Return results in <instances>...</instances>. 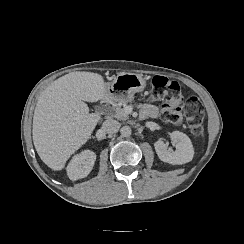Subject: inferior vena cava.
<instances>
[{"instance_id": "602c4592", "label": "inferior vena cava", "mask_w": 244, "mask_h": 244, "mask_svg": "<svg viewBox=\"0 0 244 244\" xmlns=\"http://www.w3.org/2000/svg\"><path fill=\"white\" fill-rule=\"evenodd\" d=\"M120 123L113 119L103 121L101 131L104 134H115L119 131Z\"/></svg>"}]
</instances>
